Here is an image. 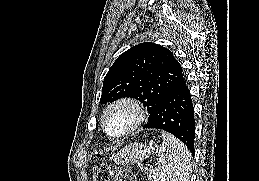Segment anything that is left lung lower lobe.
I'll return each instance as SVG.
<instances>
[{"label":"left lung lower lobe","mask_w":259,"mask_h":181,"mask_svg":"<svg viewBox=\"0 0 259 181\" xmlns=\"http://www.w3.org/2000/svg\"><path fill=\"white\" fill-rule=\"evenodd\" d=\"M143 128H157L173 134L194 156V109L183 75L163 97L155 117Z\"/></svg>","instance_id":"left-lung-lower-lobe-1"}]
</instances>
